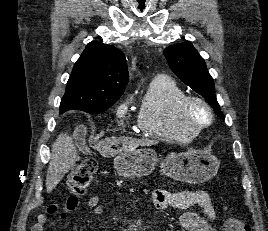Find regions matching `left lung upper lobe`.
<instances>
[{
  "label": "left lung upper lobe",
  "mask_w": 268,
  "mask_h": 231,
  "mask_svg": "<svg viewBox=\"0 0 268 231\" xmlns=\"http://www.w3.org/2000/svg\"><path fill=\"white\" fill-rule=\"evenodd\" d=\"M172 71L194 91L205 97L215 113L222 119L224 115L215 95L214 82L208 73L205 61L190 41L167 47L163 51Z\"/></svg>",
  "instance_id": "left-lung-upper-lobe-1"
}]
</instances>
